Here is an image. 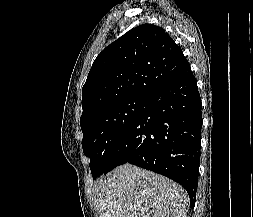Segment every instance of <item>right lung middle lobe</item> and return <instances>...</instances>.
<instances>
[{
  "instance_id": "right-lung-middle-lobe-1",
  "label": "right lung middle lobe",
  "mask_w": 253,
  "mask_h": 217,
  "mask_svg": "<svg viewBox=\"0 0 253 217\" xmlns=\"http://www.w3.org/2000/svg\"><path fill=\"white\" fill-rule=\"evenodd\" d=\"M147 102L131 97L109 105L89 117L81 129L84 154L90 158L93 179L104 173L113 150Z\"/></svg>"
}]
</instances>
